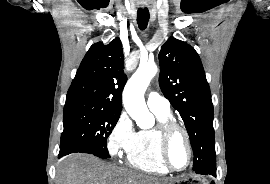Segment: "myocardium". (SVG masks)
Returning a JSON list of instances; mask_svg holds the SVG:
<instances>
[{"label": "myocardium", "mask_w": 270, "mask_h": 184, "mask_svg": "<svg viewBox=\"0 0 270 184\" xmlns=\"http://www.w3.org/2000/svg\"><path fill=\"white\" fill-rule=\"evenodd\" d=\"M157 135H158V147H159V155L162 164L172 172H182L187 170L193 160V147L191 143V139L188 131L180 125L178 122L170 119L166 121L159 122L156 127ZM181 133L186 141L187 149H188V161L187 164L183 168L174 167L168 157V150L170 141L175 133Z\"/></svg>", "instance_id": "myocardium-1"}]
</instances>
